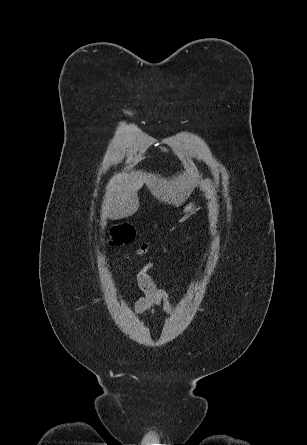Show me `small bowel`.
<instances>
[{
	"label": "small bowel",
	"instance_id": "obj_1",
	"mask_svg": "<svg viewBox=\"0 0 307 445\" xmlns=\"http://www.w3.org/2000/svg\"><path fill=\"white\" fill-rule=\"evenodd\" d=\"M153 268V263H147L143 268L131 276V280L136 282L143 291L144 296L139 298L133 305L136 313H144L162 304L167 313L172 312V303L169 294L158 288L149 271Z\"/></svg>",
	"mask_w": 307,
	"mask_h": 445
}]
</instances>
